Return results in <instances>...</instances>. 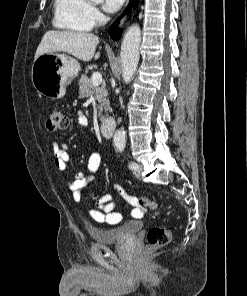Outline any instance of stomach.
<instances>
[{"instance_id":"0dacf381","label":"stomach","mask_w":247,"mask_h":296,"mask_svg":"<svg viewBox=\"0 0 247 296\" xmlns=\"http://www.w3.org/2000/svg\"><path fill=\"white\" fill-rule=\"evenodd\" d=\"M80 70L79 62L65 54L47 53L34 60L31 79L38 93L51 99L65 95L66 86Z\"/></svg>"}]
</instances>
